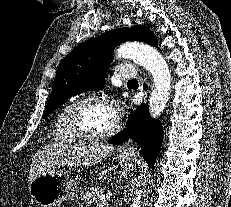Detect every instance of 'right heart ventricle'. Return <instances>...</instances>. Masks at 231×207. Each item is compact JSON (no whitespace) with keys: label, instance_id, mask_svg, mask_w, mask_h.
Segmentation results:
<instances>
[{"label":"right heart ventricle","instance_id":"right-heart-ventricle-1","mask_svg":"<svg viewBox=\"0 0 231 207\" xmlns=\"http://www.w3.org/2000/svg\"><path fill=\"white\" fill-rule=\"evenodd\" d=\"M73 102L65 104L57 113L54 125L53 135L55 140L65 143L78 141L77 136L71 131L68 124V112Z\"/></svg>","mask_w":231,"mask_h":207}]
</instances>
